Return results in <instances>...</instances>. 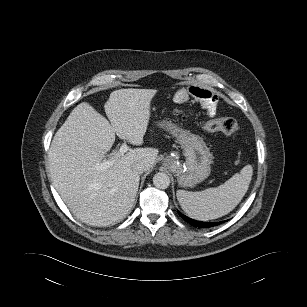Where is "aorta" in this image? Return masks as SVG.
I'll use <instances>...</instances> for the list:
<instances>
[{
	"instance_id": "aorta-1",
	"label": "aorta",
	"mask_w": 307,
	"mask_h": 307,
	"mask_svg": "<svg viewBox=\"0 0 307 307\" xmlns=\"http://www.w3.org/2000/svg\"><path fill=\"white\" fill-rule=\"evenodd\" d=\"M153 184L158 189H166L170 185V177L163 172H158L153 177Z\"/></svg>"
}]
</instances>
